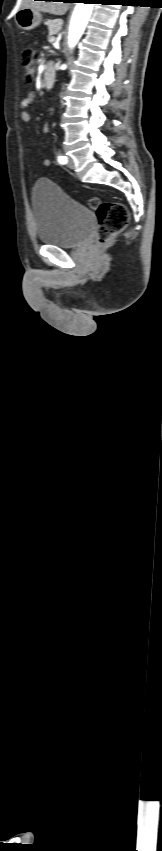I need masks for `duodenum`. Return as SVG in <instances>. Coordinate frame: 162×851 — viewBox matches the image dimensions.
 Wrapping results in <instances>:
<instances>
[{"mask_svg":"<svg viewBox=\"0 0 162 851\" xmlns=\"http://www.w3.org/2000/svg\"><path fill=\"white\" fill-rule=\"evenodd\" d=\"M54 81V70L50 64H47L44 69L42 83L45 88L52 86Z\"/></svg>","mask_w":162,"mask_h":851,"instance_id":"410a0bca","label":"duodenum"}]
</instances>
